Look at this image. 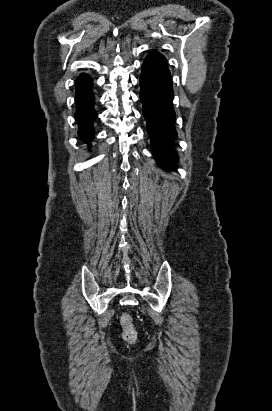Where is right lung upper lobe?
I'll return each instance as SVG.
<instances>
[{
	"label": "right lung upper lobe",
	"mask_w": 272,
	"mask_h": 411,
	"mask_svg": "<svg viewBox=\"0 0 272 411\" xmlns=\"http://www.w3.org/2000/svg\"><path fill=\"white\" fill-rule=\"evenodd\" d=\"M89 79H90V77H88V76L85 75V74L79 75V77L77 78V81H76V86H77V85H80V84H82V83H84V82H86V81L89 80Z\"/></svg>",
	"instance_id": "right-lung-upper-lobe-1"
}]
</instances>
